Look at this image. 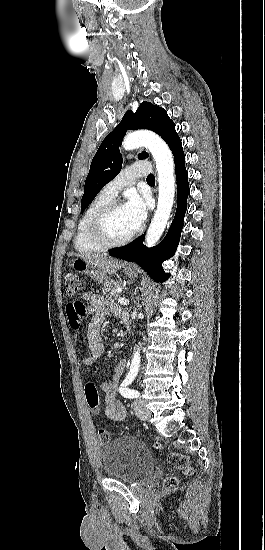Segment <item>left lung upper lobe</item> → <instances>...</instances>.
<instances>
[{"instance_id":"5c2ea615","label":"left lung upper lobe","mask_w":265,"mask_h":550,"mask_svg":"<svg viewBox=\"0 0 265 550\" xmlns=\"http://www.w3.org/2000/svg\"><path fill=\"white\" fill-rule=\"evenodd\" d=\"M129 129L152 130L166 141L171 150L181 143L174 122L163 108L149 102H142L135 113L131 110L127 111L120 124L105 137L92 160L85 181L81 212L92 202L102 187L120 172L123 159L119 145ZM147 157L146 152L138 155L139 159Z\"/></svg>"}]
</instances>
